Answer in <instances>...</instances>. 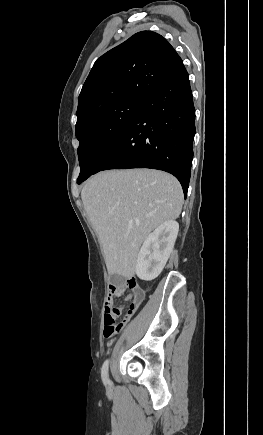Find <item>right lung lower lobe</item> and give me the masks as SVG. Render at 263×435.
Wrapping results in <instances>:
<instances>
[{
    "label": "right lung lower lobe",
    "mask_w": 263,
    "mask_h": 435,
    "mask_svg": "<svg viewBox=\"0 0 263 435\" xmlns=\"http://www.w3.org/2000/svg\"><path fill=\"white\" fill-rule=\"evenodd\" d=\"M194 135L195 108L189 75L183 67L143 101L95 173L128 168L163 170L180 181L186 198Z\"/></svg>",
    "instance_id": "98d812e1"
}]
</instances>
